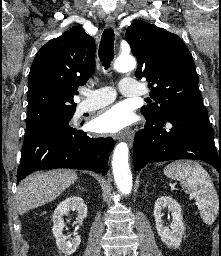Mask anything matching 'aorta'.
Instances as JSON below:
<instances>
[{"label": "aorta", "mask_w": 221, "mask_h": 256, "mask_svg": "<svg viewBox=\"0 0 221 256\" xmlns=\"http://www.w3.org/2000/svg\"><path fill=\"white\" fill-rule=\"evenodd\" d=\"M133 57H119L114 63L118 72H128L135 68ZM129 149L125 142L119 143L113 153L112 168L116 185L122 194H129L132 189V174L128 164Z\"/></svg>", "instance_id": "762f6f07"}]
</instances>
